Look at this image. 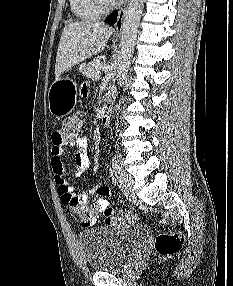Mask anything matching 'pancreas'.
<instances>
[{
    "instance_id": "pancreas-1",
    "label": "pancreas",
    "mask_w": 233,
    "mask_h": 286,
    "mask_svg": "<svg viewBox=\"0 0 233 286\" xmlns=\"http://www.w3.org/2000/svg\"><path fill=\"white\" fill-rule=\"evenodd\" d=\"M99 71V61L94 60L82 67L80 72L89 79H94L95 74Z\"/></svg>"
}]
</instances>
